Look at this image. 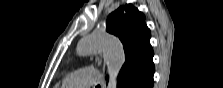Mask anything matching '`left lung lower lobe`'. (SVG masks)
<instances>
[{
	"instance_id": "1",
	"label": "left lung lower lobe",
	"mask_w": 223,
	"mask_h": 88,
	"mask_svg": "<svg viewBox=\"0 0 223 88\" xmlns=\"http://www.w3.org/2000/svg\"><path fill=\"white\" fill-rule=\"evenodd\" d=\"M154 63L151 61L145 68L132 71L118 80L117 88H152Z\"/></svg>"
}]
</instances>
